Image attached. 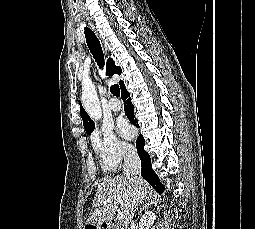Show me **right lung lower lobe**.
<instances>
[{"label": "right lung lower lobe", "mask_w": 255, "mask_h": 229, "mask_svg": "<svg viewBox=\"0 0 255 229\" xmlns=\"http://www.w3.org/2000/svg\"><path fill=\"white\" fill-rule=\"evenodd\" d=\"M121 96L125 103L124 110H125L126 116L128 117V119L133 125H135L136 127H139L137 120L134 118L133 105L131 104V101H130L129 92L126 90L125 86L121 88ZM144 145H145L144 138L140 134L139 137L137 138L136 147H137V151L142 164L141 175L158 193H163L165 188L161 184L158 176L156 175V173L153 171L151 167L150 156L144 150Z\"/></svg>", "instance_id": "right-lung-lower-lobe-1"}]
</instances>
